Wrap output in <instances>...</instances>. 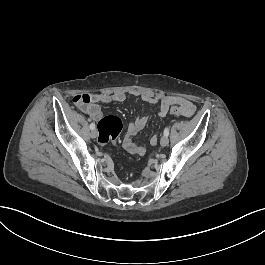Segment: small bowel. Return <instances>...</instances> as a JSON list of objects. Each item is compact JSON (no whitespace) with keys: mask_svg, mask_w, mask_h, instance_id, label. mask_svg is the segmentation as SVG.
<instances>
[{"mask_svg":"<svg viewBox=\"0 0 265 265\" xmlns=\"http://www.w3.org/2000/svg\"><path fill=\"white\" fill-rule=\"evenodd\" d=\"M141 99L149 105H158V115L163 117L168 114L165 105L168 100L174 99L179 102V105L183 107L185 117H190L196 110V106L193 102L183 97L165 95L162 97L153 96L148 93L141 95ZM91 102L83 106L82 111L87 114L91 119L98 120L101 115L100 104H110V103H123L126 100V94L122 91H116L114 93H97L90 95ZM148 123V117L143 116L132 121L124 135L123 147L130 154L134 155H144L147 151L146 147L137 144L133 141L134 136H136ZM158 143V137L153 134L150 137V144L155 146Z\"/></svg>","mask_w":265,"mask_h":265,"instance_id":"1","label":"small bowel"}]
</instances>
